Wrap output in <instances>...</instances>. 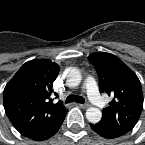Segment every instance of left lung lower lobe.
Masks as SVG:
<instances>
[{"mask_svg": "<svg viewBox=\"0 0 145 145\" xmlns=\"http://www.w3.org/2000/svg\"><path fill=\"white\" fill-rule=\"evenodd\" d=\"M90 126L97 134H99L103 138L113 139V138L121 136V135H118L114 132H111V131L103 128L102 126H100L98 124H90Z\"/></svg>", "mask_w": 145, "mask_h": 145, "instance_id": "1", "label": "left lung lower lobe"}]
</instances>
